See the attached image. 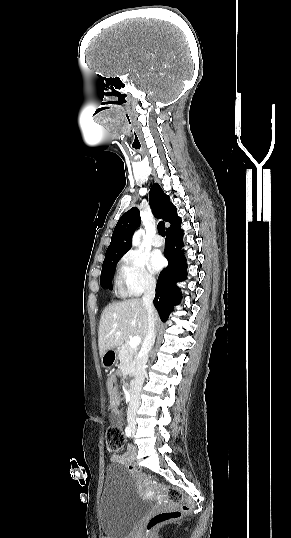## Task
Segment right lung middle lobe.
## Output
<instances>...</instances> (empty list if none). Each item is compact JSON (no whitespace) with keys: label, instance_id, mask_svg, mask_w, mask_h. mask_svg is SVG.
I'll use <instances>...</instances> for the list:
<instances>
[{"label":"right lung middle lobe","instance_id":"1","mask_svg":"<svg viewBox=\"0 0 291 538\" xmlns=\"http://www.w3.org/2000/svg\"><path fill=\"white\" fill-rule=\"evenodd\" d=\"M119 259L120 258L103 262L100 282L104 288L112 289V276L114 273L115 265L117 264Z\"/></svg>","mask_w":291,"mask_h":538}]
</instances>
